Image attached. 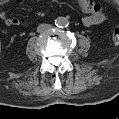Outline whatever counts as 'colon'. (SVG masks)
Listing matches in <instances>:
<instances>
[{
  "label": "colon",
  "mask_w": 119,
  "mask_h": 119,
  "mask_svg": "<svg viewBox=\"0 0 119 119\" xmlns=\"http://www.w3.org/2000/svg\"><path fill=\"white\" fill-rule=\"evenodd\" d=\"M112 39L115 42L119 41V28L114 29L113 33H112Z\"/></svg>",
  "instance_id": "colon-1"
}]
</instances>
